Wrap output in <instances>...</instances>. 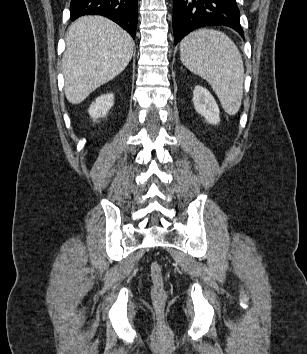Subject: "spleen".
Returning a JSON list of instances; mask_svg holds the SVG:
<instances>
[{
  "label": "spleen",
  "instance_id": "1",
  "mask_svg": "<svg viewBox=\"0 0 307 354\" xmlns=\"http://www.w3.org/2000/svg\"><path fill=\"white\" fill-rule=\"evenodd\" d=\"M183 65L212 86L225 112L235 115L243 97L244 65L234 42L224 33L199 29L180 43Z\"/></svg>",
  "mask_w": 307,
  "mask_h": 354
}]
</instances>
